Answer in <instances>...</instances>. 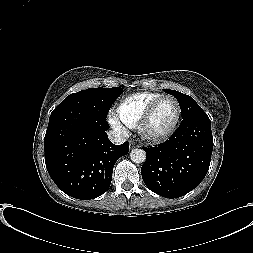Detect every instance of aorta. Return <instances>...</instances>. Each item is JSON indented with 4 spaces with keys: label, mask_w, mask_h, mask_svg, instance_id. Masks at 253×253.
Here are the masks:
<instances>
[{
    "label": "aorta",
    "mask_w": 253,
    "mask_h": 253,
    "mask_svg": "<svg viewBox=\"0 0 253 253\" xmlns=\"http://www.w3.org/2000/svg\"><path fill=\"white\" fill-rule=\"evenodd\" d=\"M130 159L134 163H143L146 160V153L143 149H133L130 153Z\"/></svg>",
    "instance_id": "762f6f07"
}]
</instances>
